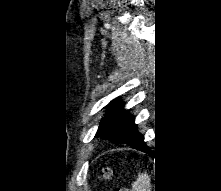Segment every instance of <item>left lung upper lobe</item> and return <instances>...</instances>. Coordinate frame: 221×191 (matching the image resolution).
<instances>
[{"mask_svg":"<svg viewBox=\"0 0 221 191\" xmlns=\"http://www.w3.org/2000/svg\"><path fill=\"white\" fill-rule=\"evenodd\" d=\"M116 98L106 106V113L96 136L101 135L116 143L128 144L136 149L146 147L144 136L138 131L134 119L124 109V103Z\"/></svg>","mask_w":221,"mask_h":191,"instance_id":"1","label":"left lung upper lobe"}]
</instances>
